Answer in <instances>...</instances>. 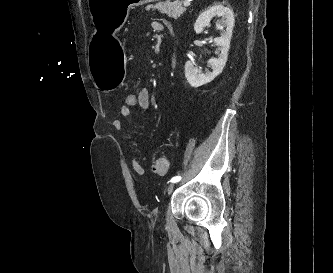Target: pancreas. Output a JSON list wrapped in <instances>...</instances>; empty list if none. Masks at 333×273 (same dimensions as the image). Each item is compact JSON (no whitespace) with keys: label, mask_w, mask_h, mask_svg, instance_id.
Returning <instances> with one entry per match:
<instances>
[{"label":"pancreas","mask_w":333,"mask_h":273,"mask_svg":"<svg viewBox=\"0 0 333 273\" xmlns=\"http://www.w3.org/2000/svg\"><path fill=\"white\" fill-rule=\"evenodd\" d=\"M157 9L161 13L168 15L171 18L177 19L186 11V8L182 6V1L174 0L171 2L167 0L165 2H158L155 5H150L146 9Z\"/></svg>","instance_id":"cf45deb5"}]
</instances>
